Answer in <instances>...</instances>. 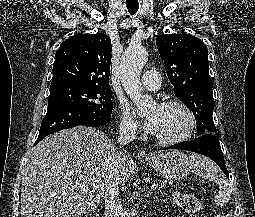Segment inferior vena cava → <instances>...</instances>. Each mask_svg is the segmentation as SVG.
<instances>
[{"mask_svg": "<svg viewBox=\"0 0 255 217\" xmlns=\"http://www.w3.org/2000/svg\"><path fill=\"white\" fill-rule=\"evenodd\" d=\"M135 129L132 127H122L119 132L118 142L126 145L135 139ZM119 153L116 152L115 146L111 147L108 158V170L105 183L104 200L106 217H119L120 200H119Z\"/></svg>", "mask_w": 255, "mask_h": 217, "instance_id": "602c4592", "label": "inferior vena cava"}]
</instances>
